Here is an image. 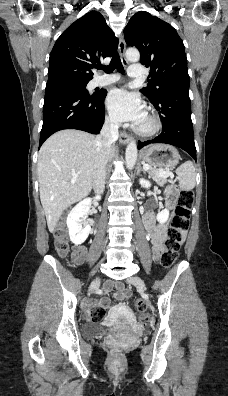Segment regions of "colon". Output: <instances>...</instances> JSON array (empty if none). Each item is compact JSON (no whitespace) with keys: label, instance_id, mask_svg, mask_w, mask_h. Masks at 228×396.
I'll return each mask as SVG.
<instances>
[{"label":"colon","instance_id":"obj_1","mask_svg":"<svg viewBox=\"0 0 228 396\" xmlns=\"http://www.w3.org/2000/svg\"><path fill=\"white\" fill-rule=\"evenodd\" d=\"M169 195L177 199L175 216L173 218L172 226L168 230L167 237L164 240V251L161 255V262L164 266L172 265L178 258V250L182 233L188 226V217L191 207L193 205V193L188 190H179L176 186L169 188ZM55 239V248L59 255H66L69 251V243L66 235V228L61 223L55 226L53 231ZM137 310L141 313L140 321L147 324L150 320L149 316L145 314L147 304L143 300H138L135 303ZM105 316V310L99 305L91 308V317L95 321L101 320ZM117 354L119 351L115 349Z\"/></svg>","mask_w":228,"mask_h":396}]
</instances>
